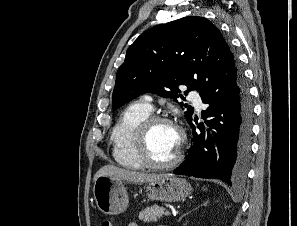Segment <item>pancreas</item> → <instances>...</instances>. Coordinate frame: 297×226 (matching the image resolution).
I'll return each instance as SVG.
<instances>
[{
	"label": "pancreas",
	"instance_id": "obj_1",
	"mask_svg": "<svg viewBox=\"0 0 297 226\" xmlns=\"http://www.w3.org/2000/svg\"><path fill=\"white\" fill-rule=\"evenodd\" d=\"M165 208L158 205L145 208L139 213V219L144 222L158 221L163 217Z\"/></svg>",
	"mask_w": 297,
	"mask_h": 226
}]
</instances>
